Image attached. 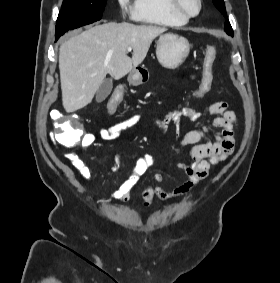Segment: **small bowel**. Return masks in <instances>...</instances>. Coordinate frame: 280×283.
I'll use <instances>...</instances> for the list:
<instances>
[{
  "label": "small bowel",
  "instance_id": "small-bowel-1",
  "mask_svg": "<svg viewBox=\"0 0 280 283\" xmlns=\"http://www.w3.org/2000/svg\"><path fill=\"white\" fill-rule=\"evenodd\" d=\"M208 113L213 116L210 125L218 131L213 140L201 143L209 133V125H204L200 129L183 132L180 128L182 119L192 121L201 119V113L197 110L185 107L181 110L171 111L161 118H151V122L158 130H164L169 123H174L177 127L178 154L179 158L188 157L192 160L191 164L182 161L176 167L187 177V180L172 191H166L161 186H147L142 192L143 206L148 208L152 205L155 198L166 201L172 197H180L189 194L208 176L212 166L225 161L234 151V128L237 124V117L233 111L227 109L225 102H215L208 107ZM142 116L134 114L115 125L102 128L98 132L100 139L111 141L117 138L123 131L136 125ZM96 141V135L90 132H83L81 136V148L87 149ZM67 159L72 167L85 180L92 179V171L78 154L71 152L67 154ZM153 162L150 154L140 156L127 178L120 184L119 188L113 193V198L117 201L127 202L130 200L131 192L140 178L145 174ZM118 164L112 166L109 173H115ZM165 177L161 173L154 175L156 182L164 181Z\"/></svg>",
  "mask_w": 280,
  "mask_h": 283
}]
</instances>
